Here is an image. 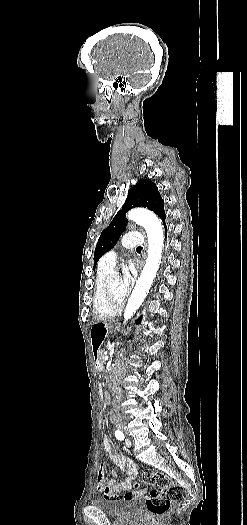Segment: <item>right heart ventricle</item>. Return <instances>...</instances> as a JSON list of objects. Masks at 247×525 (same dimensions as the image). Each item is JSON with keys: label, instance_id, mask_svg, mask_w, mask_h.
I'll list each match as a JSON object with an SVG mask.
<instances>
[{"label": "right heart ventricle", "instance_id": "obj_1", "mask_svg": "<svg viewBox=\"0 0 247 525\" xmlns=\"http://www.w3.org/2000/svg\"><path fill=\"white\" fill-rule=\"evenodd\" d=\"M106 254L100 259L98 273L96 277L95 289L92 297L94 317H114L116 309L106 304V298L103 295L102 288L105 280L115 277L113 266L106 265Z\"/></svg>", "mask_w": 247, "mask_h": 525}]
</instances>
